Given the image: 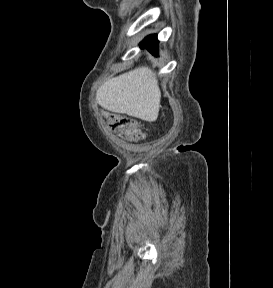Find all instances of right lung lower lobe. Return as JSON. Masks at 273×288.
Segmentation results:
<instances>
[{"label": "right lung lower lobe", "mask_w": 273, "mask_h": 288, "mask_svg": "<svg viewBox=\"0 0 273 288\" xmlns=\"http://www.w3.org/2000/svg\"><path fill=\"white\" fill-rule=\"evenodd\" d=\"M157 35L147 36L141 43V48H147L152 54L157 55Z\"/></svg>", "instance_id": "obj_1"}]
</instances>
